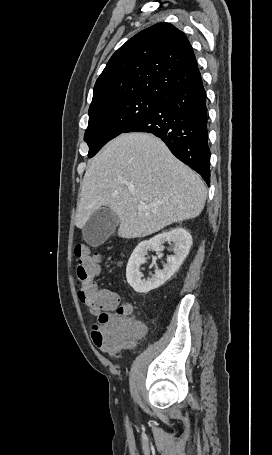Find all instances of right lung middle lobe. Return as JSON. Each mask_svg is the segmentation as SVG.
<instances>
[{
	"label": "right lung middle lobe",
	"instance_id": "right-lung-middle-lobe-1",
	"mask_svg": "<svg viewBox=\"0 0 272 455\" xmlns=\"http://www.w3.org/2000/svg\"><path fill=\"white\" fill-rule=\"evenodd\" d=\"M164 98L133 96L89 109V124L84 140L93 157L108 141L161 106Z\"/></svg>",
	"mask_w": 272,
	"mask_h": 455
}]
</instances>
